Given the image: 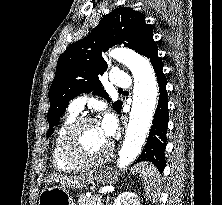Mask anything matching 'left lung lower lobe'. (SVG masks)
I'll return each instance as SVG.
<instances>
[{"label": "left lung lower lobe", "mask_w": 222, "mask_h": 205, "mask_svg": "<svg viewBox=\"0 0 222 205\" xmlns=\"http://www.w3.org/2000/svg\"><path fill=\"white\" fill-rule=\"evenodd\" d=\"M142 55L150 59L159 84V101L152 121L151 130L145 149L135 163L142 161L152 162L162 173L165 167L166 130L168 126V97L166 91V76L163 74V63L158 57V47L153 35L148 37L141 51Z\"/></svg>", "instance_id": "1"}]
</instances>
